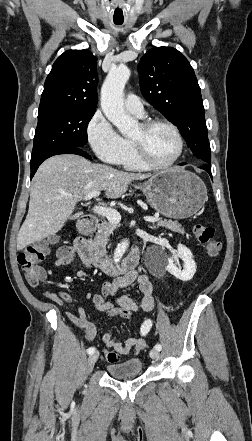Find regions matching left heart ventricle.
I'll return each instance as SVG.
<instances>
[{"label": "left heart ventricle", "mask_w": 252, "mask_h": 441, "mask_svg": "<svg viewBox=\"0 0 252 441\" xmlns=\"http://www.w3.org/2000/svg\"><path fill=\"white\" fill-rule=\"evenodd\" d=\"M131 138L142 142L147 155L155 163L170 161L178 151L176 136L166 126H155L148 132H144L139 125Z\"/></svg>", "instance_id": "left-heart-ventricle-1"}]
</instances>
